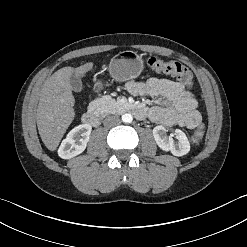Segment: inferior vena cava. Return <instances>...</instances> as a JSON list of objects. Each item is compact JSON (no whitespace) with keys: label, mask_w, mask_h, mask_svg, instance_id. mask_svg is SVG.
Returning <instances> with one entry per match:
<instances>
[{"label":"inferior vena cava","mask_w":247,"mask_h":247,"mask_svg":"<svg viewBox=\"0 0 247 247\" xmlns=\"http://www.w3.org/2000/svg\"><path fill=\"white\" fill-rule=\"evenodd\" d=\"M120 123V118L117 115H109L103 120L105 126H114Z\"/></svg>","instance_id":"inferior-vena-cava-1"}]
</instances>
